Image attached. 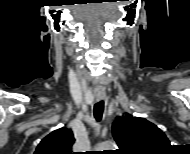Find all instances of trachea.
Returning <instances> with one entry per match:
<instances>
[{
	"instance_id": "obj_1",
	"label": "trachea",
	"mask_w": 190,
	"mask_h": 154,
	"mask_svg": "<svg viewBox=\"0 0 190 154\" xmlns=\"http://www.w3.org/2000/svg\"><path fill=\"white\" fill-rule=\"evenodd\" d=\"M103 110H104L103 101H99L94 105L93 113L96 121H100L102 119Z\"/></svg>"
}]
</instances>
